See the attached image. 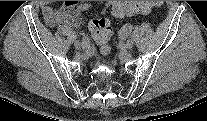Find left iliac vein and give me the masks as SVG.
Listing matches in <instances>:
<instances>
[{"instance_id": "1", "label": "left iliac vein", "mask_w": 207, "mask_h": 121, "mask_svg": "<svg viewBox=\"0 0 207 121\" xmlns=\"http://www.w3.org/2000/svg\"><path fill=\"white\" fill-rule=\"evenodd\" d=\"M134 45V42L132 40H127L124 44H123V47L125 49H131Z\"/></svg>"}]
</instances>
